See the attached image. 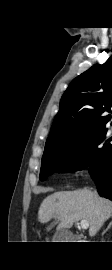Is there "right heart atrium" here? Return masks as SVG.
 I'll return each instance as SVG.
<instances>
[{
	"instance_id": "1",
	"label": "right heart atrium",
	"mask_w": 112,
	"mask_h": 270,
	"mask_svg": "<svg viewBox=\"0 0 112 270\" xmlns=\"http://www.w3.org/2000/svg\"><path fill=\"white\" fill-rule=\"evenodd\" d=\"M86 161L87 154L85 152H76L72 155L69 162L70 171L75 175L82 174Z\"/></svg>"
}]
</instances>
